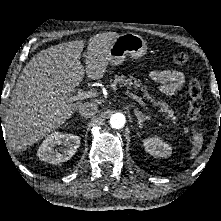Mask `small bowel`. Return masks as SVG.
<instances>
[{
    "instance_id": "1",
    "label": "small bowel",
    "mask_w": 221,
    "mask_h": 221,
    "mask_svg": "<svg viewBox=\"0 0 221 221\" xmlns=\"http://www.w3.org/2000/svg\"><path fill=\"white\" fill-rule=\"evenodd\" d=\"M149 77L159 84L160 92L167 96L175 95L185 83L183 73L177 70H153Z\"/></svg>"
}]
</instances>
